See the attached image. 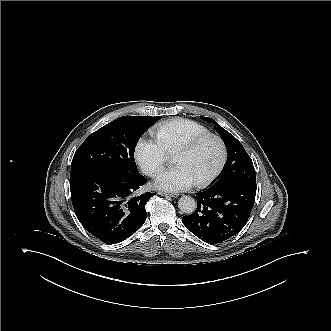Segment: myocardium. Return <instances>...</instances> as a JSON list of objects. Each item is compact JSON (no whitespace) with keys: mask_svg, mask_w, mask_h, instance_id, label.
Masks as SVG:
<instances>
[{"mask_svg":"<svg viewBox=\"0 0 331 331\" xmlns=\"http://www.w3.org/2000/svg\"><path fill=\"white\" fill-rule=\"evenodd\" d=\"M208 141L214 142L216 144L218 148L219 159L216 166L209 174L196 179V185L202 186L207 183H210L222 172L226 164L227 155L224 143L222 142L221 138L212 133L200 135L183 145L175 154L176 160H182V158H184L187 154H189L190 152L198 148L200 145Z\"/></svg>","mask_w":331,"mask_h":331,"instance_id":"obj_1","label":"myocardium"}]
</instances>
